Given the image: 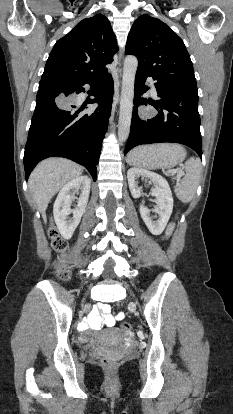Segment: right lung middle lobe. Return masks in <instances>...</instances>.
Returning a JSON list of instances; mask_svg holds the SVG:
<instances>
[{
	"mask_svg": "<svg viewBox=\"0 0 233 414\" xmlns=\"http://www.w3.org/2000/svg\"><path fill=\"white\" fill-rule=\"evenodd\" d=\"M69 82L66 81H58V80H45V81H40L39 87L42 86H46V85H68Z\"/></svg>",
	"mask_w": 233,
	"mask_h": 414,
	"instance_id": "obj_1",
	"label": "right lung middle lobe"
}]
</instances>
